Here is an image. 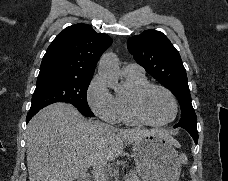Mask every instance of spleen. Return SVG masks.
I'll return each mask as SVG.
<instances>
[{"instance_id": "1", "label": "spleen", "mask_w": 228, "mask_h": 181, "mask_svg": "<svg viewBox=\"0 0 228 181\" xmlns=\"http://www.w3.org/2000/svg\"><path fill=\"white\" fill-rule=\"evenodd\" d=\"M180 161H181V163H184V165H186L188 159H187L185 153H182V155L180 157Z\"/></svg>"}]
</instances>
